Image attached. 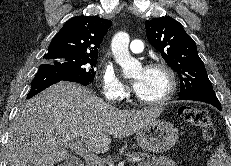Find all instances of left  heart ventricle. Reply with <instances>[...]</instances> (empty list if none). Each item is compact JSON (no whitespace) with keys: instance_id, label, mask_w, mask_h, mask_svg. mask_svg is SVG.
<instances>
[{"instance_id":"left-heart-ventricle-1","label":"left heart ventricle","mask_w":231,"mask_h":166,"mask_svg":"<svg viewBox=\"0 0 231 166\" xmlns=\"http://www.w3.org/2000/svg\"><path fill=\"white\" fill-rule=\"evenodd\" d=\"M144 73L143 85L137 95L146 100H155L163 96L168 88V79L160 70H137L134 77Z\"/></svg>"}]
</instances>
